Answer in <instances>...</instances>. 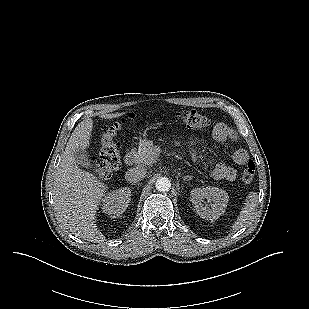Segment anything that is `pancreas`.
<instances>
[{
  "label": "pancreas",
  "instance_id": "cf45deb5",
  "mask_svg": "<svg viewBox=\"0 0 309 309\" xmlns=\"http://www.w3.org/2000/svg\"><path fill=\"white\" fill-rule=\"evenodd\" d=\"M159 158V153L156 151L153 142L144 140L141 142L138 151L136 152L135 162L143 165H150Z\"/></svg>",
  "mask_w": 309,
  "mask_h": 309
}]
</instances>
